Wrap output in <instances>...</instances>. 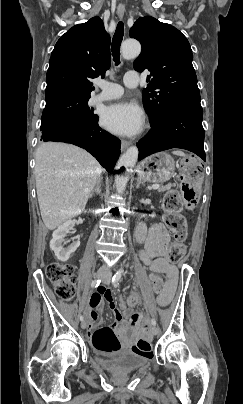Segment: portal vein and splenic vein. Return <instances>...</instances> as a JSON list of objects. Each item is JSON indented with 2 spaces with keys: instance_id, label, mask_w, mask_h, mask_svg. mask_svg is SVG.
Segmentation results:
<instances>
[{
  "instance_id": "18ae733b",
  "label": "portal vein and splenic vein",
  "mask_w": 243,
  "mask_h": 404,
  "mask_svg": "<svg viewBox=\"0 0 243 404\" xmlns=\"http://www.w3.org/2000/svg\"><path fill=\"white\" fill-rule=\"evenodd\" d=\"M153 190H158L160 188L159 184H153L152 186Z\"/></svg>"
}]
</instances>
